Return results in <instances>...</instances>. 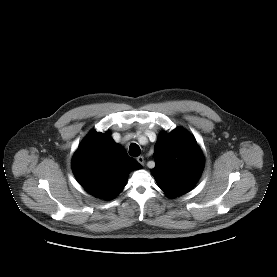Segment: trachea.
<instances>
[{"mask_svg": "<svg viewBox=\"0 0 277 277\" xmlns=\"http://www.w3.org/2000/svg\"><path fill=\"white\" fill-rule=\"evenodd\" d=\"M140 153H141L140 147L137 144L132 143L129 147V154L133 157H137L140 155Z\"/></svg>", "mask_w": 277, "mask_h": 277, "instance_id": "3493384b", "label": "trachea"}]
</instances>
